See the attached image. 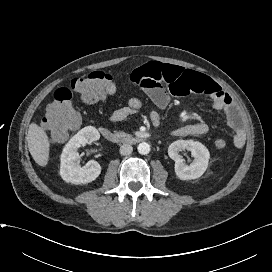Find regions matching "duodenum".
<instances>
[{"instance_id":"1","label":"duodenum","mask_w":272,"mask_h":272,"mask_svg":"<svg viewBox=\"0 0 272 272\" xmlns=\"http://www.w3.org/2000/svg\"><path fill=\"white\" fill-rule=\"evenodd\" d=\"M98 130L106 140L112 143L137 144L145 140L143 136L121 135L104 127H100Z\"/></svg>"}]
</instances>
